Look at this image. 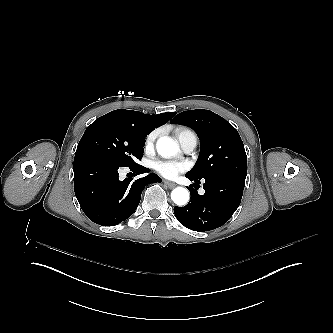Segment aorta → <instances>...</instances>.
Segmentation results:
<instances>
[{"label":"aorta","instance_id":"1","mask_svg":"<svg viewBox=\"0 0 333 333\" xmlns=\"http://www.w3.org/2000/svg\"><path fill=\"white\" fill-rule=\"evenodd\" d=\"M157 153L163 158H171L179 151L177 143L168 136L159 137L156 141ZM172 201L179 206L189 201V192L184 187H176L171 192Z\"/></svg>","mask_w":333,"mask_h":333}]
</instances>
